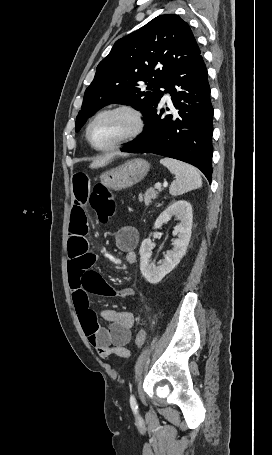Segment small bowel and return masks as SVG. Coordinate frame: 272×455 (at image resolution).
Wrapping results in <instances>:
<instances>
[{
	"mask_svg": "<svg viewBox=\"0 0 272 455\" xmlns=\"http://www.w3.org/2000/svg\"><path fill=\"white\" fill-rule=\"evenodd\" d=\"M92 181L89 174L77 172L73 175V208L70 215L68 236V273L73 301L82 329L88 341L102 358L111 355L129 358L131 352L126 345L131 340L134 315L125 310L105 309L102 317L108 325L102 327L97 322L95 312L90 308L89 294L103 297L126 298L135 296L132 288L116 289L93 270L96 255L90 251L88 234L87 203L91 195ZM139 235L136 228L123 226L115 234V245L124 254L128 264L137 260L135 249ZM121 352H126L122 355Z\"/></svg>",
	"mask_w": 272,
	"mask_h": 455,
	"instance_id": "small-bowel-1",
	"label": "small bowel"
}]
</instances>
